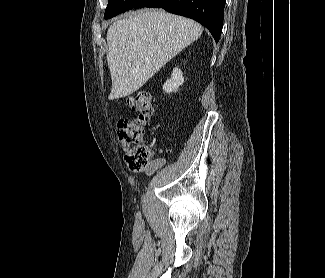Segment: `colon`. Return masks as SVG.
Returning a JSON list of instances; mask_svg holds the SVG:
<instances>
[{
    "instance_id": "1",
    "label": "colon",
    "mask_w": 325,
    "mask_h": 278,
    "mask_svg": "<svg viewBox=\"0 0 325 278\" xmlns=\"http://www.w3.org/2000/svg\"><path fill=\"white\" fill-rule=\"evenodd\" d=\"M127 104L136 113V117L119 120L115 130L125 151L127 167L137 171L147 166L152 155L150 147L143 140L146 124L154 109L149 94L144 92L129 96Z\"/></svg>"
}]
</instances>
